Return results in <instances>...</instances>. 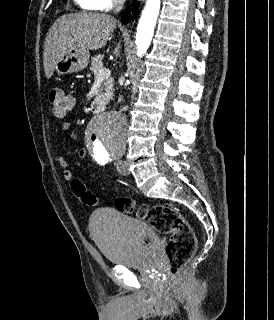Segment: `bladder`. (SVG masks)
<instances>
[{
	"label": "bladder",
	"mask_w": 274,
	"mask_h": 320,
	"mask_svg": "<svg viewBox=\"0 0 274 320\" xmlns=\"http://www.w3.org/2000/svg\"><path fill=\"white\" fill-rule=\"evenodd\" d=\"M88 228L104 259L117 266L132 267L148 262L160 243L151 225L110 208L95 210Z\"/></svg>",
	"instance_id": "31cf9c89"
}]
</instances>
